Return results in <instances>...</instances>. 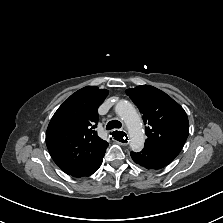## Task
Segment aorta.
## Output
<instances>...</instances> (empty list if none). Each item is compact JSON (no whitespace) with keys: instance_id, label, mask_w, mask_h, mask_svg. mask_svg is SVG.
<instances>
[{"instance_id":"762f6f07","label":"aorta","mask_w":223,"mask_h":223,"mask_svg":"<svg viewBox=\"0 0 223 223\" xmlns=\"http://www.w3.org/2000/svg\"><path fill=\"white\" fill-rule=\"evenodd\" d=\"M116 114L125 122L129 132V145L133 151L139 152L144 146L141 118L134 106L128 101H119L115 106Z\"/></svg>"}]
</instances>
